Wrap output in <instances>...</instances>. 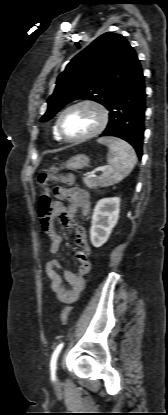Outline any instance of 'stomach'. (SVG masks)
<instances>
[{"mask_svg":"<svg viewBox=\"0 0 168 415\" xmlns=\"http://www.w3.org/2000/svg\"><path fill=\"white\" fill-rule=\"evenodd\" d=\"M89 163V157L84 154H79L71 157L66 163L62 164L61 169L64 167L69 169H82ZM58 168H52V172H57Z\"/></svg>","mask_w":168,"mask_h":415,"instance_id":"0dacf381","label":"stomach"}]
</instances>
